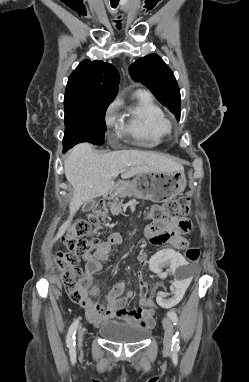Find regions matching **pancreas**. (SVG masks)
<instances>
[{
  "label": "pancreas",
  "instance_id": "pancreas-1",
  "mask_svg": "<svg viewBox=\"0 0 249 382\" xmlns=\"http://www.w3.org/2000/svg\"><path fill=\"white\" fill-rule=\"evenodd\" d=\"M127 195H129L127 192H123L120 194V198H124L126 197ZM110 206V211L113 215H118L119 213L122 212V201L120 202L119 201V198L116 197L115 199H113V202L109 204Z\"/></svg>",
  "mask_w": 249,
  "mask_h": 382
}]
</instances>
